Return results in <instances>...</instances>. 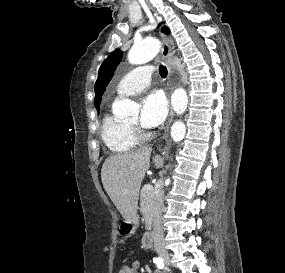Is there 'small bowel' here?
Segmentation results:
<instances>
[{
  "instance_id": "small-bowel-1",
  "label": "small bowel",
  "mask_w": 285,
  "mask_h": 273,
  "mask_svg": "<svg viewBox=\"0 0 285 273\" xmlns=\"http://www.w3.org/2000/svg\"><path fill=\"white\" fill-rule=\"evenodd\" d=\"M134 273H135V271H134ZM153 273H160L159 271H154Z\"/></svg>"
}]
</instances>
